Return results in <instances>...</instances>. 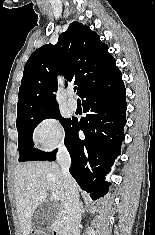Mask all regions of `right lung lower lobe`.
<instances>
[{
	"label": "right lung lower lobe",
	"mask_w": 155,
	"mask_h": 235,
	"mask_svg": "<svg viewBox=\"0 0 155 235\" xmlns=\"http://www.w3.org/2000/svg\"><path fill=\"white\" fill-rule=\"evenodd\" d=\"M126 89L118 70L97 80L79 94L83 100L85 118L72 124L65 134L64 143L70 153V174L93 199L107 194L110 183L105 175L120 154L126 124ZM84 131L81 140L78 131ZM57 152V151H56ZM54 152L44 161H54Z\"/></svg>",
	"instance_id": "1"
}]
</instances>
